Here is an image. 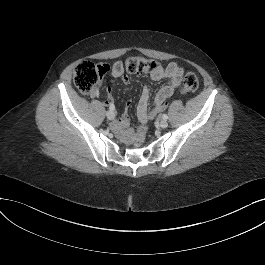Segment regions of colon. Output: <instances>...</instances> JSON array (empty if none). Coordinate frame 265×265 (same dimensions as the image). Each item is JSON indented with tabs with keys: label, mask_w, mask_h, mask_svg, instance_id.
I'll return each instance as SVG.
<instances>
[{
	"label": "colon",
	"mask_w": 265,
	"mask_h": 265,
	"mask_svg": "<svg viewBox=\"0 0 265 265\" xmlns=\"http://www.w3.org/2000/svg\"><path fill=\"white\" fill-rule=\"evenodd\" d=\"M159 64L154 59L142 57H130L125 62V68L130 74L151 73L158 69ZM100 79L97 65L90 61H84L77 65L74 71V82L83 93H91ZM199 87V79L194 72H187L182 79V92H194ZM166 103L154 106L143 118L142 124L138 126L134 138V145L138 148L145 143L147 124L161 111L166 108Z\"/></svg>",
	"instance_id": "obj_1"
}]
</instances>
